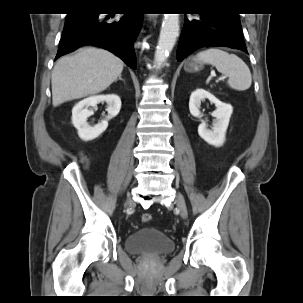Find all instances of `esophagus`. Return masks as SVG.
I'll return each instance as SVG.
<instances>
[{
	"mask_svg": "<svg viewBox=\"0 0 303 303\" xmlns=\"http://www.w3.org/2000/svg\"><path fill=\"white\" fill-rule=\"evenodd\" d=\"M147 18H148L150 21H155V16H154V15H147Z\"/></svg>",
	"mask_w": 303,
	"mask_h": 303,
	"instance_id": "1",
	"label": "esophagus"
}]
</instances>
